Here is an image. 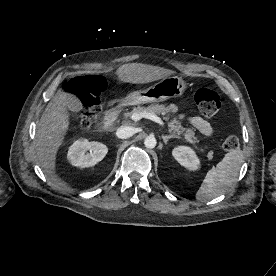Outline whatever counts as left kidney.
Returning a JSON list of instances; mask_svg holds the SVG:
<instances>
[{"instance_id":"left-kidney-1","label":"left kidney","mask_w":276,"mask_h":276,"mask_svg":"<svg viewBox=\"0 0 276 276\" xmlns=\"http://www.w3.org/2000/svg\"><path fill=\"white\" fill-rule=\"evenodd\" d=\"M173 157L189 170H197L200 167V161L195 152L187 146H178L172 151Z\"/></svg>"}]
</instances>
